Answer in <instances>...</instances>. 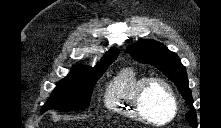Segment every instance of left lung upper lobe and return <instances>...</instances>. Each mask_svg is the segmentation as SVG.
Segmentation results:
<instances>
[{
    "label": "left lung upper lobe",
    "instance_id": "5c2ea615",
    "mask_svg": "<svg viewBox=\"0 0 221 128\" xmlns=\"http://www.w3.org/2000/svg\"><path fill=\"white\" fill-rule=\"evenodd\" d=\"M128 51L135 60L155 66L176 84L185 101L190 104L192 108V110L186 114V118L192 126L196 127L197 116L193 107L189 82L185 67L181 64L178 55L154 40L140 41L133 47H129Z\"/></svg>",
    "mask_w": 221,
    "mask_h": 128
}]
</instances>
